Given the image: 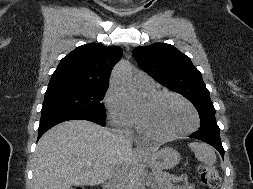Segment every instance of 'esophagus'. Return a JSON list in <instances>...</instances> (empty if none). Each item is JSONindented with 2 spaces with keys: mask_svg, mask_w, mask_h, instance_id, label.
I'll list each match as a JSON object with an SVG mask.
<instances>
[{
  "mask_svg": "<svg viewBox=\"0 0 253 189\" xmlns=\"http://www.w3.org/2000/svg\"><path fill=\"white\" fill-rule=\"evenodd\" d=\"M135 153H136L137 155H143V154H145V151H144V149L141 148V147H136V148H135Z\"/></svg>",
  "mask_w": 253,
  "mask_h": 189,
  "instance_id": "1",
  "label": "esophagus"
}]
</instances>
